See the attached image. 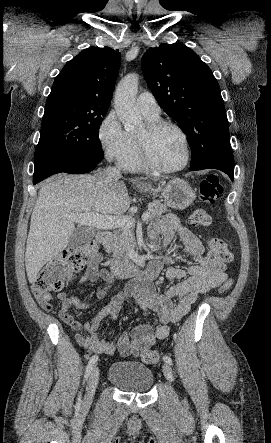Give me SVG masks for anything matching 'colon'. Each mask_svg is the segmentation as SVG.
I'll return each mask as SVG.
<instances>
[{
	"label": "colon",
	"instance_id": "5ec220e1",
	"mask_svg": "<svg viewBox=\"0 0 271 443\" xmlns=\"http://www.w3.org/2000/svg\"><path fill=\"white\" fill-rule=\"evenodd\" d=\"M222 187L217 176L210 175L203 179L199 185V195L202 202L213 204L220 194ZM190 224L196 227H208L212 224V218L203 208L196 209L189 218ZM209 255L229 263L233 254L228 243L221 238H211L208 241ZM98 258V247L95 242H86L80 246L67 250L64 254L49 261L41 270L32 284L34 295L43 297L50 292L59 291L71 276L80 271L84 266L93 263ZM232 280L223 282L219 287V293H226L232 287ZM141 360L147 364H154L160 360L157 351H145L140 355Z\"/></svg>",
	"mask_w": 271,
	"mask_h": 443
}]
</instances>
